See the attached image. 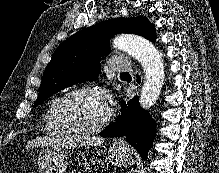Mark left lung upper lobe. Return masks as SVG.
Returning a JSON list of instances; mask_svg holds the SVG:
<instances>
[{"label": "left lung upper lobe", "instance_id": "obj_1", "mask_svg": "<svg viewBox=\"0 0 219 173\" xmlns=\"http://www.w3.org/2000/svg\"><path fill=\"white\" fill-rule=\"evenodd\" d=\"M117 33L137 34L156 41L153 24L141 16L103 21L75 33L53 53L33 107L73 84L96 80L101 73V57L111 51L109 41Z\"/></svg>", "mask_w": 219, "mask_h": 173}]
</instances>
